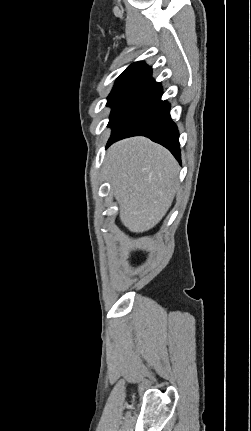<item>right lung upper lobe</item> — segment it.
<instances>
[{
	"instance_id": "right-lung-upper-lobe-1",
	"label": "right lung upper lobe",
	"mask_w": 251,
	"mask_h": 431,
	"mask_svg": "<svg viewBox=\"0 0 251 431\" xmlns=\"http://www.w3.org/2000/svg\"><path fill=\"white\" fill-rule=\"evenodd\" d=\"M147 68L148 69V66L145 64V63H143V62H136V63H133L132 65H130L128 68ZM127 68V69H128Z\"/></svg>"
}]
</instances>
